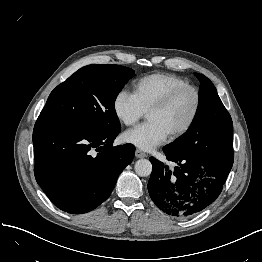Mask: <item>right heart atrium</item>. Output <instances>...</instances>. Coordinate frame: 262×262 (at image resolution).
<instances>
[{
  "label": "right heart atrium",
  "instance_id": "1",
  "mask_svg": "<svg viewBox=\"0 0 262 262\" xmlns=\"http://www.w3.org/2000/svg\"><path fill=\"white\" fill-rule=\"evenodd\" d=\"M113 110L117 119L126 126L135 125L145 114L135 95L124 89L116 94Z\"/></svg>",
  "mask_w": 262,
  "mask_h": 262
}]
</instances>
